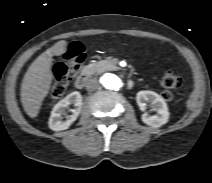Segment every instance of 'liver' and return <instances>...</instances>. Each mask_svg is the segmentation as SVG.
<instances>
[{
	"label": "liver",
	"instance_id": "obj_1",
	"mask_svg": "<svg viewBox=\"0 0 212 183\" xmlns=\"http://www.w3.org/2000/svg\"><path fill=\"white\" fill-rule=\"evenodd\" d=\"M66 51V42L59 41L38 56L28 68L21 85V102L30 118L37 117L42 102L48 95L53 74L51 60Z\"/></svg>",
	"mask_w": 212,
	"mask_h": 183
}]
</instances>
